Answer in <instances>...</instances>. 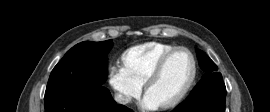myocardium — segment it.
Returning a JSON list of instances; mask_svg holds the SVG:
<instances>
[{"label":"myocardium","instance_id":"1","mask_svg":"<svg viewBox=\"0 0 270 112\" xmlns=\"http://www.w3.org/2000/svg\"><path fill=\"white\" fill-rule=\"evenodd\" d=\"M186 52L191 59L192 62V73L191 76L187 82V84L185 85V87L183 88V90L173 99L169 100L168 102L162 104L161 106L163 108H171L176 106L177 104H179L190 92L191 88L193 87L196 78H197V72H198V66H197V60L195 55L193 54V52L188 49L187 47H183V46H178L173 48L172 50L168 51L167 53H165L156 63V65L154 66V68L152 69V71L150 72V74L148 75L145 83H144V90L147 93L148 88L150 87V85L156 81L159 76L161 75L162 71L164 70L165 65L167 64V62L169 61V59L176 54L177 52Z\"/></svg>","mask_w":270,"mask_h":112}]
</instances>
